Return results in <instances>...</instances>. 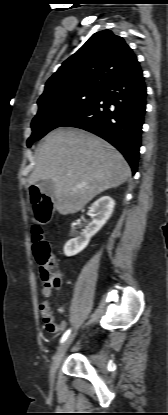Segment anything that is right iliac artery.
<instances>
[{
    "instance_id": "1",
    "label": "right iliac artery",
    "mask_w": 168,
    "mask_h": 415,
    "mask_svg": "<svg viewBox=\"0 0 168 415\" xmlns=\"http://www.w3.org/2000/svg\"><path fill=\"white\" fill-rule=\"evenodd\" d=\"M70 333H71V329H68L64 334H63V336H62V338H61V340H60V343H63L68 337H69V335H70Z\"/></svg>"
}]
</instances>
